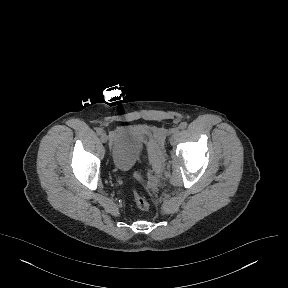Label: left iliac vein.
Here are the masks:
<instances>
[{"label": "left iliac vein", "instance_id": "obj_1", "mask_svg": "<svg viewBox=\"0 0 288 288\" xmlns=\"http://www.w3.org/2000/svg\"><path fill=\"white\" fill-rule=\"evenodd\" d=\"M171 134H173V135H175V134H177L178 132H179V128L178 127H175V128H173V129H171Z\"/></svg>", "mask_w": 288, "mask_h": 288}]
</instances>
